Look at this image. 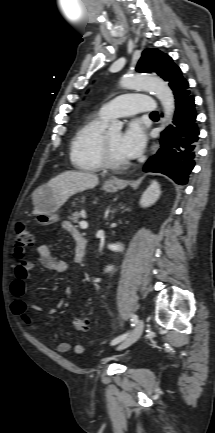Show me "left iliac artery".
Segmentation results:
<instances>
[{"label":"left iliac artery","instance_id":"obj_1","mask_svg":"<svg viewBox=\"0 0 215 433\" xmlns=\"http://www.w3.org/2000/svg\"><path fill=\"white\" fill-rule=\"evenodd\" d=\"M132 326H135L138 322V317L135 314H132L131 316ZM128 336V333H125L123 335L118 336L114 340H112L111 345L118 344L119 342L123 341Z\"/></svg>","mask_w":215,"mask_h":433}]
</instances>
